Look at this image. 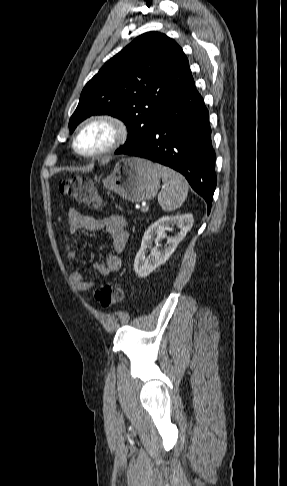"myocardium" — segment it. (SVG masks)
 Instances as JSON below:
<instances>
[{"instance_id":"1","label":"myocardium","mask_w":287,"mask_h":486,"mask_svg":"<svg viewBox=\"0 0 287 486\" xmlns=\"http://www.w3.org/2000/svg\"><path fill=\"white\" fill-rule=\"evenodd\" d=\"M95 124L107 125L111 129L112 131L111 142L107 146L96 151H92V152L81 151L77 146V140L79 136L87 128ZM127 138H128V127L121 118L113 114L99 113L87 117L78 125L73 135L72 147L74 151L80 156L86 158H96L117 150L120 146H122L126 142Z\"/></svg>"}]
</instances>
